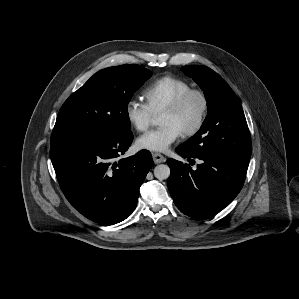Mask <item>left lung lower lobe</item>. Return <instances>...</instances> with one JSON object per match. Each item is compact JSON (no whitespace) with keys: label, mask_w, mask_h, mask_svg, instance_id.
<instances>
[{"label":"left lung lower lobe","mask_w":299,"mask_h":299,"mask_svg":"<svg viewBox=\"0 0 299 299\" xmlns=\"http://www.w3.org/2000/svg\"><path fill=\"white\" fill-rule=\"evenodd\" d=\"M175 151L189 162L201 160L195 170L180 161L167 160L171 169L168 188L174 203L184 214L206 219L224 209L240 192L249 160L193 156L180 146Z\"/></svg>","instance_id":"0a47b994"}]
</instances>
